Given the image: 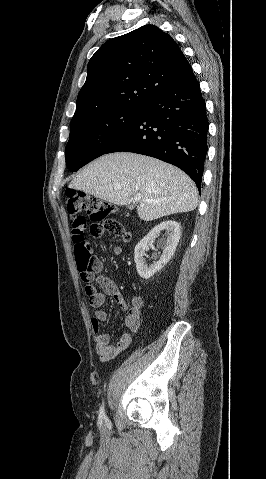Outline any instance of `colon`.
<instances>
[{"instance_id": "colon-1", "label": "colon", "mask_w": 266, "mask_h": 479, "mask_svg": "<svg viewBox=\"0 0 266 479\" xmlns=\"http://www.w3.org/2000/svg\"><path fill=\"white\" fill-rule=\"evenodd\" d=\"M65 208L72 219V244L77 271L83 282L86 295L90 302H93L98 291L92 282L93 258L85 230L89 229L90 233L96 237L110 235L122 242H128L131 239V234L120 222L110 218V215L115 212V206L94 195L73 189L67 190L65 192ZM83 213L90 220L89 225Z\"/></svg>"}]
</instances>
